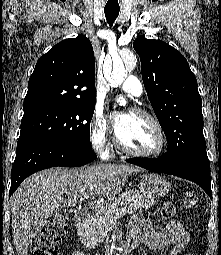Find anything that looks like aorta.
<instances>
[{"mask_svg": "<svg viewBox=\"0 0 221 255\" xmlns=\"http://www.w3.org/2000/svg\"><path fill=\"white\" fill-rule=\"evenodd\" d=\"M113 65L105 66L104 73L107 81L112 87H118L121 85L127 77V72L133 70L137 63V58L132 52L124 53L122 56H115L113 59ZM119 101L124 104L125 99L119 98Z\"/></svg>", "mask_w": 221, "mask_h": 255, "instance_id": "aorta-1", "label": "aorta"}]
</instances>
